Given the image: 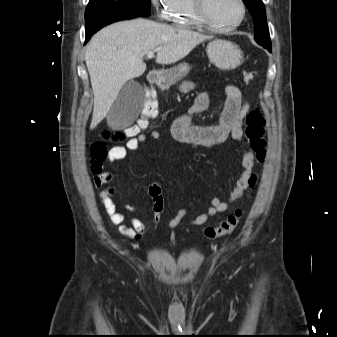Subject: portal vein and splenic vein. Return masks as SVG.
<instances>
[{
  "label": "portal vein and splenic vein",
  "mask_w": 337,
  "mask_h": 337,
  "mask_svg": "<svg viewBox=\"0 0 337 337\" xmlns=\"http://www.w3.org/2000/svg\"><path fill=\"white\" fill-rule=\"evenodd\" d=\"M154 53H155V51H150V52H148V53H147V57H148L149 59L153 58V57H154Z\"/></svg>",
  "instance_id": "18ae733b"
}]
</instances>
